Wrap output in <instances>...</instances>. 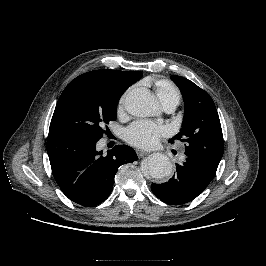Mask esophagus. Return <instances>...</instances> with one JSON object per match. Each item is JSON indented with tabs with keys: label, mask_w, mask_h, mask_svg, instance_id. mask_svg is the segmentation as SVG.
Here are the masks:
<instances>
[{
	"label": "esophagus",
	"mask_w": 266,
	"mask_h": 266,
	"mask_svg": "<svg viewBox=\"0 0 266 266\" xmlns=\"http://www.w3.org/2000/svg\"><path fill=\"white\" fill-rule=\"evenodd\" d=\"M136 153H137V156H138L139 158L144 157V156H146L147 154H149L148 151H144V150H140V149H137V150H136Z\"/></svg>",
	"instance_id": "34e87169"
}]
</instances>
